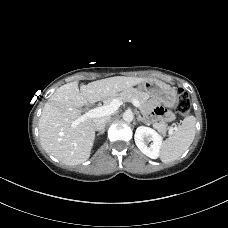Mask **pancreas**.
Returning a JSON list of instances; mask_svg holds the SVG:
<instances>
[{"mask_svg": "<svg viewBox=\"0 0 228 228\" xmlns=\"http://www.w3.org/2000/svg\"><path fill=\"white\" fill-rule=\"evenodd\" d=\"M119 99L121 102H132L133 100H138L140 107L144 108L146 106L149 96L138 89H126L116 94L114 97L108 98L106 103H109L113 99ZM153 127L158 130L161 134H166L169 127L163 122H156L153 124Z\"/></svg>", "mask_w": 228, "mask_h": 228, "instance_id": "pancreas-1", "label": "pancreas"}]
</instances>
